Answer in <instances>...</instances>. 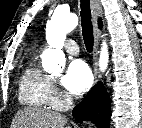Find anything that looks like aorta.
Returning a JSON list of instances; mask_svg holds the SVG:
<instances>
[{"instance_id": "aorta-1", "label": "aorta", "mask_w": 142, "mask_h": 128, "mask_svg": "<svg viewBox=\"0 0 142 128\" xmlns=\"http://www.w3.org/2000/svg\"><path fill=\"white\" fill-rule=\"evenodd\" d=\"M78 25V16L69 11L55 10L51 20L46 25V40L48 49L42 56V66L50 73H59L65 66V55L62 52L67 33L71 32ZM109 53L106 42H103L99 67L104 71L108 66Z\"/></svg>"}]
</instances>
